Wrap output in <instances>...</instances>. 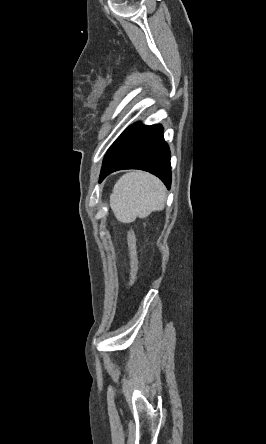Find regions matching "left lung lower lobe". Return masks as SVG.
I'll use <instances>...</instances> for the list:
<instances>
[{
    "label": "left lung lower lobe",
    "instance_id": "obj_1",
    "mask_svg": "<svg viewBox=\"0 0 266 444\" xmlns=\"http://www.w3.org/2000/svg\"><path fill=\"white\" fill-rule=\"evenodd\" d=\"M160 125L136 123L128 127L105 155L100 182L110 173L122 169H141L171 186L170 150Z\"/></svg>",
    "mask_w": 266,
    "mask_h": 444
}]
</instances>
